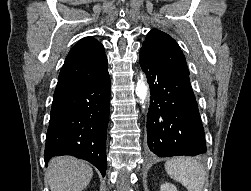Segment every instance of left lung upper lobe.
Segmentation results:
<instances>
[{"label": "left lung upper lobe", "instance_id": "left-lung-upper-lobe-1", "mask_svg": "<svg viewBox=\"0 0 251 191\" xmlns=\"http://www.w3.org/2000/svg\"><path fill=\"white\" fill-rule=\"evenodd\" d=\"M141 53L151 56L164 67L189 75L186 59L177 42L168 34L152 29L146 36Z\"/></svg>", "mask_w": 251, "mask_h": 191}]
</instances>
